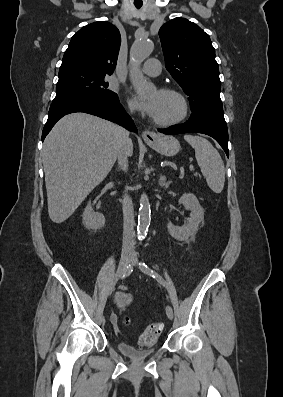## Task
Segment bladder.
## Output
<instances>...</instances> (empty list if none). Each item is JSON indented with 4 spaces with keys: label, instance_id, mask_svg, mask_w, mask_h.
Segmentation results:
<instances>
[{
    "label": "bladder",
    "instance_id": "31cf9c89",
    "mask_svg": "<svg viewBox=\"0 0 283 397\" xmlns=\"http://www.w3.org/2000/svg\"><path fill=\"white\" fill-rule=\"evenodd\" d=\"M116 349L124 356L132 360H143L157 351L156 342L148 348H138L126 342H118Z\"/></svg>",
    "mask_w": 283,
    "mask_h": 397
}]
</instances>
